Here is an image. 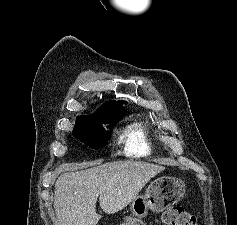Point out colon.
I'll list each match as a JSON object with an SVG mask.
<instances>
[{"mask_svg":"<svg viewBox=\"0 0 237 225\" xmlns=\"http://www.w3.org/2000/svg\"><path fill=\"white\" fill-rule=\"evenodd\" d=\"M118 225H145L140 219L128 217ZM156 225H198L197 218L187 212L182 206H174L165 210Z\"/></svg>","mask_w":237,"mask_h":225,"instance_id":"colon-1","label":"colon"}]
</instances>
